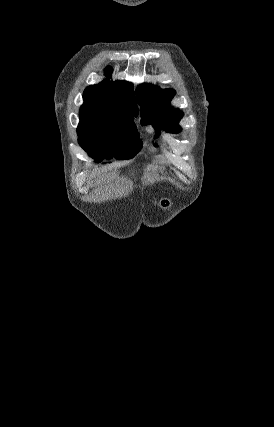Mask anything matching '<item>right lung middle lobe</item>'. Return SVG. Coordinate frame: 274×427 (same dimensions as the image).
<instances>
[{
    "label": "right lung middle lobe",
    "mask_w": 274,
    "mask_h": 427,
    "mask_svg": "<svg viewBox=\"0 0 274 427\" xmlns=\"http://www.w3.org/2000/svg\"><path fill=\"white\" fill-rule=\"evenodd\" d=\"M79 116V144L97 162L112 157L131 159L141 150L142 143L133 122L136 114L106 112Z\"/></svg>",
    "instance_id": "dd1d6c3e"
}]
</instances>
